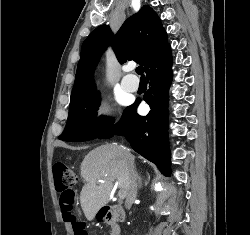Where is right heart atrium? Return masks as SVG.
Returning <instances> with one entry per match:
<instances>
[{
	"label": "right heart atrium",
	"mask_w": 250,
	"mask_h": 235,
	"mask_svg": "<svg viewBox=\"0 0 250 235\" xmlns=\"http://www.w3.org/2000/svg\"><path fill=\"white\" fill-rule=\"evenodd\" d=\"M95 118L98 122H111L112 121V112L110 107L102 102L97 108Z\"/></svg>",
	"instance_id": "obj_1"
}]
</instances>
